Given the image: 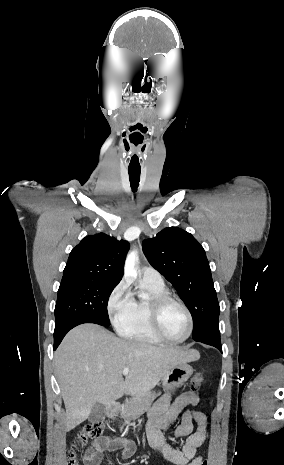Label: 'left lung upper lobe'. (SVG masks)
<instances>
[{
  "instance_id": "1",
  "label": "left lung upper lobe",
  "mask_w": 284,
  "mask_h": 465,
  "mask_svg": "<svg viewBox=\"0 0 284 465\" xmlns=\"http://www.w3.org/2000/svg\"><path fill=\"white\" fill-rule=\"evenodd\" d=\"M149 263L169 280L193 317V339L219 329L220 307L205 250L188 232L170 227L143 241Z\"/></svg>"
}]
</instances>
